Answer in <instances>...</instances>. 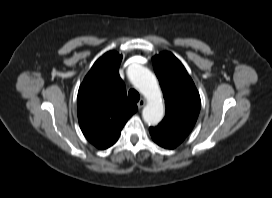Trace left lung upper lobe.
Masks as SVG:
<instances>
[{
    "label": "left lung upper lobe",
    "mask_w": 272,
    "mask_h": 198,
    "mask_svg": "<svg viewBox=\"0 0 272 198\" xmlns=\"http://www.w3.org/2000/svg\"><path fill=\"white\" fill-rule=\"evenodd\" d=\"M152 61L166 99L165 117L159 126L186 137L200 112L199 92L182 63L172 53L162 52Z\"/></svg>",
    "instance_id": "left-lung-upper-lobe-1"
}]
</instances>
